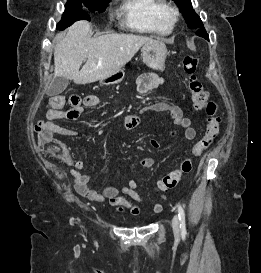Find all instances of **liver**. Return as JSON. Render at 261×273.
Returning a JSON list of instances; mask_svg holds the SVG:
<instances>
[{"label": "liver", "instance_id": "obj_1", "mask_svg": "<svg viewBox=\"0 0 261 273\" xmlns=\"http://www.w3.org/2000/svg\"><path fill=\"white\" fill-rule=\"evenodd\" d=\"M91 24L78 21L67 34L54 39V76L89 84L104 80L126 65L152 38L133 34H108L91 38ZM86 63L80 69L82 62Z\"/></svg>", "mask_w": 261, "mask_h": 273}]
</instances>
